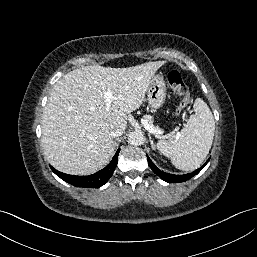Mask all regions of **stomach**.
<instances>
[{"instance_id":"1","label":"stomach","mask_w":257,"mask_h":257,"mask_svg":"<svg viewBox=\"0 0 257 257\" xmlns=\"http://www.w3.org/2000/svg\"><path fill=\"white\" fill-rule=\"evenodd\" d=\"M166 98V84L161 74L154 75L147 90V100L153 111L161 108Z\"/></svg>"}]
</instances>
